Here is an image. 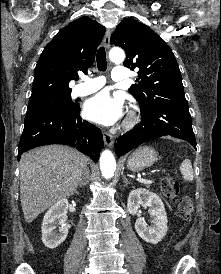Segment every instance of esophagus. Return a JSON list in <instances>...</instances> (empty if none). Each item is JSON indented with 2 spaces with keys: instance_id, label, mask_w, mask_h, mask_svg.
<instances>
[{
  "instance_id": "obj_1",
  "label": "esophagus",
  "mask_w": 221,
  "mask_h": 274,
  "mask_svg": "<svg viewBox=\"0 0 221 274\" xmlns=\"http://www.w3.org/2000/svg\"><path fill=\"white\" fill-rule=\"evenodd\" d=\"M110 38H111V30L107 29L104 39H103V45L107 50L110 48ZM103 139H104L106 146H108V147L113 146L114 138L109 132L103 131Z\"/></svg>"
}]
</instances>
